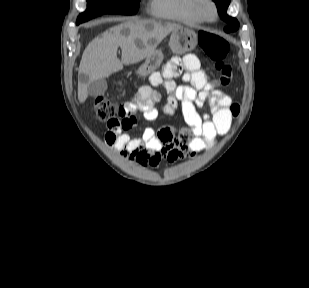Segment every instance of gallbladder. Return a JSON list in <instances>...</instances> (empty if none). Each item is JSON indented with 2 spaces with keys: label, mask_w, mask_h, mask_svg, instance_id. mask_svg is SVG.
<instances>
[{
  "label": "gallbladder",
  "mask_w": 309,
  "mask_h": 288,
  "mask_svg": "<svg viewBox=\"0 0 309 288\" xmlns=\"http://www.w3.org/2000/svg\"><path fill=\"white\" fill-rule=\"evenodd\" d=\"M107 87L105 78L95 80L88 85V94L93 97L98 96L103 94L107 90Z\"/></svg>",
  "instance_id": "obj_1"
}]
</instances>
